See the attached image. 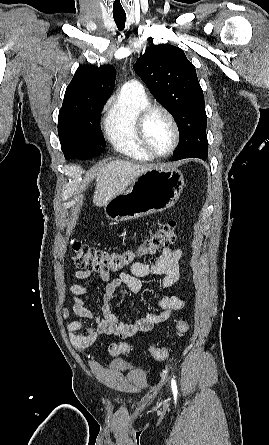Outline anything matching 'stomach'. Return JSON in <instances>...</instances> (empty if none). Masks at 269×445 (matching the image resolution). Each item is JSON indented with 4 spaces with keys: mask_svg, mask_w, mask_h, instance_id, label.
I'll use <instances>...</instances> for the list:
<instances>
[{
    "mask_svg": "<svg viewBox=\"0 0 269 445\" xmlns=\"http://www.w3.org/2000/svg\"><path fill=\"white\" fill-rule=\"evenodd\" d=\"M183 178L174 167H152L136 178L129 190L105 206L108 219L122 222L162 212L175 204Z\"/></svg>",
    "mask_w": 269,
    "mask_h": 445,
    "instance_id": "0dacf381",
    "label": "stomach"
}]
</instances>
